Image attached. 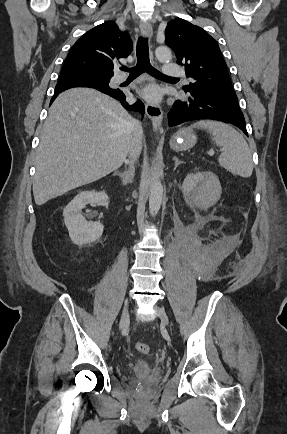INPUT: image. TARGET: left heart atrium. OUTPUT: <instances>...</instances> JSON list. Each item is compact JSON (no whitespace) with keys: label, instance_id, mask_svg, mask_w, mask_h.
Returning a JSON list of instances; mask_svg holds the SVG:
<instances>
[{"label":"left heart atrium","instance_id":"left-heart-atrium-1","mask_svg":"<svg viewBox=\"0 0 287 434\" xmlns=\"http://www.w3.org/2000/svg\"><path fill=\"white\" fill-rule=\"evenodd\" d=\"M143 95L149 101L157 102L161 99L162 92L158 87L150 86L144 90Z\"/></svg>","mask_w":287,"mask_h":434}]
</instances>
